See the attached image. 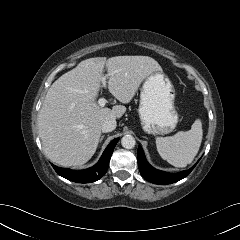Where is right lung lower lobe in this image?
<instances>
[{
    "label": "right lung lower lobe",
    "mask_w": 240,
    "mask_h": 240,
    "mask_svg": "<svg viewBox=\"0 0 240 240\" xmlns=\"http://www.w3.org/2000/svg\"><path fill=\"white\" fill-rule=\"evenodd\" d=\"M118 138L112 140L110 144L107 146L105 151L103 152L98 163L85 170L74 171L71 169L60 168L52 164L55 171L62 177L78 183H90L97 181L100 179L107 171L109 161L114 150L116 143L118 142Z\"/></svg>",
    "instance_id": "1"
}]
</instances>
